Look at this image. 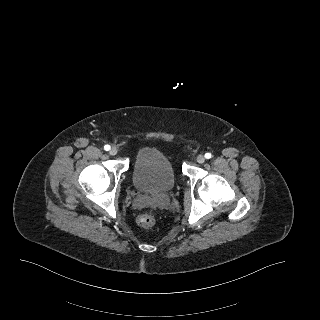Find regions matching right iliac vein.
<instances>
[{"label": "right iliac vein", "instance_id": "1", "mask_svg": "<svg viewBox=\"0 0 320 320\" xmlns=\"http://www.w3.org/2000/svg\"><path fill=\"white\" fill-rule=\"evenodd\" d=\"M109 153H110V155L114 156L117 154V149L113 147L112 149H110Z\"/></svg>", "mask_w": 320, "mask_h": 320}]
</instances>
